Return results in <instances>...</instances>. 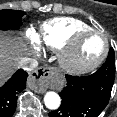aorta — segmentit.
<instances>
[{
	"mask_svg": "<svg viewBox=\"0 0 117 117\" xmlns=\"http://www.w3.org/2000/svg\"><path fill=\"white\" fill-rule=\"evenodd\" d=\"M45 106L50 110H56L61 104L60 96L53 91H49L44 96Z\"/></svg>",
	"mask_w": 117,
	"mask_h": 117,
	"instance_id": "1",
	"label": "aorta"
}]
</instances>
